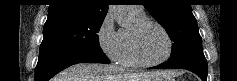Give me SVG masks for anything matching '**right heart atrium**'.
I'll use <instances>...</instances> for the list:
<instances>
[{
    "label": "right heart atrium",
    "mask_w": 237,
    "mask_h": 81,
    "mask_svg": "<svg viewBox=\"0 0 237 81\" xmlns=\"http://www.w3.org/2000/svg\"><path fill=\"white\" fill-rule=\"evenodd\" d=\"M98 45L103 54L113 62H117L121 55V41L119 31H116L110 15H106L97 30Z\"/></svg>",
    "instance_id": "obj_1"
}]
</instances>
